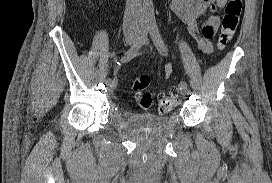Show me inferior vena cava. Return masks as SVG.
Wrapping results in <instances>:
<instances>
[{
	"label": "inferior vena cava",
	"instance_id": "1",
	"mask_svg": "<svg viewBox=\"0 0 272 183\" xmlns=\"http://www.w3.org/2000/svg\"><path fill=\"white\" fill-rule=\"evenodd\" d=\"M142 20L141 0H126V8L123 20L124 30H137Z\"/></svg>",
	"mask_w": 272,
	"mask_h": 183
}]
</instances>
